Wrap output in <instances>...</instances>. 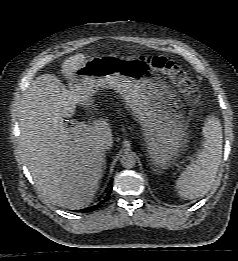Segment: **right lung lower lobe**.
<instances>
[{"label": "right lung lower lobe", "mask_w": 238, "mask_h": 261, "mask_svg": "<svg viewBox=\"0 0 238 261\" xmlns=\"http://www.w3.org/2000/svg\"><path fill=\"white\" fill-rule=\"evenodd\" d=\"M109 197H110V192H108V193L106 194V196L104 197V199H103L102 201H100V203H98V204L95 205V206L90 207V208H89V211H93V210H95L96 208H98L99 206H101L102 204H104V202H106V201L109 199Z\"/></svg>", "instance_id": "obj_1"}]
</instances>
